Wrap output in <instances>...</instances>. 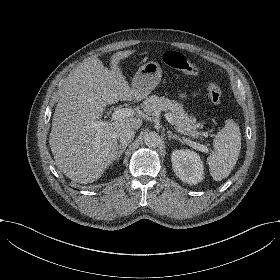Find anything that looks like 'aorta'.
I'll return each instance as SVG.
<instances>
[{"mask_svg":"<svg viewBox=\"0 0 280 280\" xmlns=\"http://www.w3.org/2000/svg\"><path fill=\"white\" fill-rule=\"evenodd\" d=\"M143 138H144L145 144L149 147L158 146V144L160 143V136L155 131L146 132L143 135Z\"/></svg>","mask_w":280,"mask_h":280,"instance_id":"762f6f07","label":"aorta"}]
</instances>
